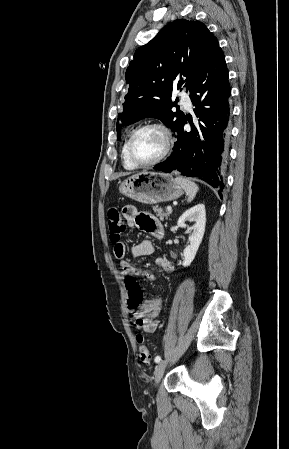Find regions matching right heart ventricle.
<instances>
[{
	"mask_svg": "<svg viewBox=\"0 0 289 449\" xmlns=\"http://www.w3.org/2000/svg\"><path fill=\"white\" fill-rule=\"evenodd\" d=\"M122 160H123V165L126 169L132 170L135 169L137 166L134 165L129 156H128V140L124 143L123 147H122Z\"/></svg>",
	"mask_w": 289,
	"mask_h": 449,
	"instance_id": "right-heart-ventricle-1",
	"label": "right heart ventricle"
}]
</instances>
